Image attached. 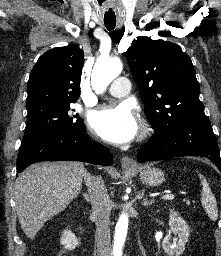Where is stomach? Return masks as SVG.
Returning <instances> with one entry per match:
<instances>
[{
	"label": "stomach",
	"mask_w": 221,
	"mask_h": 256,
	"mask_svg": "<svg viewBox=\"0 0 221 256\" xmlns=\"http://www.w3.org/2000/svg\"><path fill=\"white\" fill-rule=\"evenodd\" d=\"M127 170L132 174H138L141 182L147 186H159L165 180L163 172L158 168L138 166L135 168H128Z\"/></svg>",
	"instance_id": "stomach-1"
}]
</instances>
